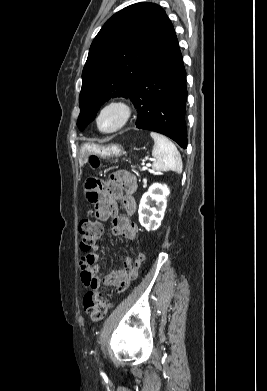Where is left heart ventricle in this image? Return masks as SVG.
Segmentation results:
<instances>
[{
  "instance_id": "obj_1",
  "label": "left heart ventricle",
  "mask_w": 267,
  "mask_h": 391,
  "mask_svg": "<svg viewBox=\"0 0 267 391\" xmlns=\"http://www.w3.org/2000/svg\"><path fill=\"white\" fill-rule=\"evenodd\" d=\"M122 119V112L118 108H109L103 112L100 118V127L103 130L116 128Z\"/></svg>"
}]
</instances>
